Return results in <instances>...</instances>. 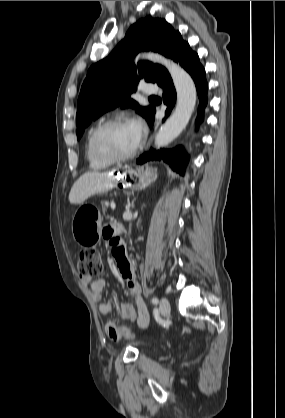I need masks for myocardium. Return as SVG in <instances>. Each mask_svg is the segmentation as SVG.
<instances>
[{"mask_svg":"<svg viewBox=\"0 0 285 418\" xmlns=\"http://www.w3.org/2000/svg\"><path fill=\"white\" fill-rule=\"evenodd\" d=\"M123 125H126V123L122 118H109L107 120L102 121L94 128L88 139L89 150L94 157H96L100 161L112 164L127 161L136 155L139 147L138 142H136L134 148L130 152L124 155H115L109 152L108 150L102 148L98 143L99 136L103 131L111 127Z\"/></svg>","mask_w":285,"mask_h":418,"instance_id":"f54148a6","label":"myocardium"}]
</instances>
